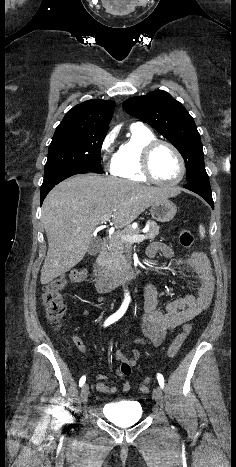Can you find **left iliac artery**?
I'll return each mask as SVG.
<instances>
[{"instance_id": "44dca946", "label": "left iliac artery", "mask_w": 236, "mask_h": 467, "mask_svg": "<svg viewBox=\"0 0 236 467\" xmlns=\"http://www.w3.org/2000/svg\"><path fill=\"white\" fill-rule=\"evenodd\" d=\"M157 379H158L160 387L163 389L164 388V378H163L162 374L158 373L157 374Z\"/></svg>"}]
</instances>
